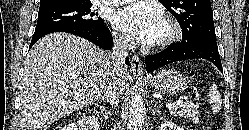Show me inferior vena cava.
I'll return each instance as SVG.
<instances>
[{
    "label": "inferior vena cava",
    "instance_id": "inferior-vena-cava-1",
    "mask_svg": "<svg viewBox=\"0 0 249 130\" xmlns=\"http://www.w3.org/2000/svg\"><path fill=\"white\" fill-rule=\"evenodd\" d=\"M114 53L109 54L111 59V79L103 88L101 98L108 103L111 108H116L119 104L118 77L124 71V61L126 51L135 47V42L129 36L115 35Z\"/></svg>",
    "mask_w": 249,
    "mask_h": 130
}]
</instances>
